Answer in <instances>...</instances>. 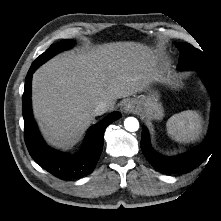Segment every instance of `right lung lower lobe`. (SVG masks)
Returning <instances> with one entry per match:
<instances>
[{
    "label": "right lung lower lobe",
    "mask_w": 221,
    "mask_h": 221,
    "mask_svg": "<svg viewBox=\"0 0 221 221\" xmlns=\"http://www.w3.org/2000/svg\"><path fill=\"white\" fill-rule=\"evenodd\" d=\"M38 68L31 65L26 76L23 94V118L25 142L31 157L46 171L60 179H77L90 174L95 168L103 149L105 128L121 117L118 111L93 126L86 136L84 147L76 155H67L51 149L43 141L31 110V80Z\"/></svg>",
    "instance_id": "right-lung-lower-lobe-1"
}]
</instances>
